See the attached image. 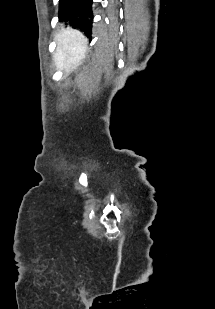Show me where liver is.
I'll list each match as a JSON object with an SVG mask.
<instances>
[{"label": "liver", "instance_id": "6515ba94", "mask_svg": "<svg viewBox=\"0 0 215 309\" xmlns=\"http://www.w3.org/2000/svg\"><path fill=\"white\" fill-rule=\"evenodd\" d=\"M56 38L58 40L55 52L56 66L70 72L85 58L88 38L76 28H62Z\"/></svg>", "mask_w": 215, "mask_h": 309}]
</instances>
